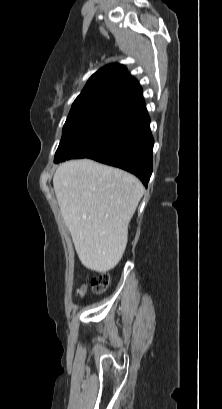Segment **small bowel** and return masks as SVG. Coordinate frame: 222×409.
<instances>
[{"label":"small bowel","instance_id":"c3829d8e","mask_svg":"<svg viewBox=\"0 0 222 409\" xmlns=\"http://www.w3.org/2000/svg\"><path fill=\"white\" fill-rule=\"evenodd\" d=\"M86 291V286H81L80 288H79V290H78V293L79 294H83L84 292Z\"/></svg>","mask_w":222,"mask_h":409}]
</instances>
